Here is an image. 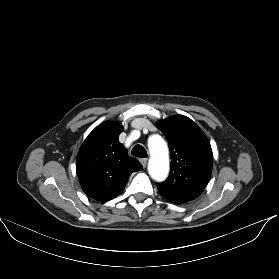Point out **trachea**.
<instances>
[{"label": "trachea", "instance_id": "3493384b", "mask_svg": "<svg viewBox=\"0 0 279 279\" xmlns=\"http://www.w3.org/2000/svg\"><path fill=\"white\" fill-rule=\"evenodd\" d=\"M131 154L135 157L139 158H146L147 157V152L145 148L142 145H136L131 151Z\"/></svg>", "mask_w": 279, "mask_h": 279}]
</instances>
